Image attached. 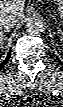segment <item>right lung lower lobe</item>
<instances>
[{
  "mask_svg": "<svg viewBox=\"0 0 63 107\" xmlns=\"http://www.w3.org/2000/svg\"><path fill=\"white\" fill-rule=\"evenodd\" d=\"M10 54H11V51H9L6 59L0 63V69L8 62L9 58H10Z\"/></svg>",
  "mask_w": 63,
  "mask_h": 107,
  "instance_id": "right-lung-lower-lobe-1",
  "label": "right lung lower lobe"
}]
</instances>
